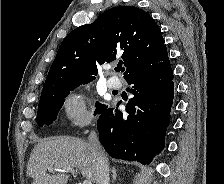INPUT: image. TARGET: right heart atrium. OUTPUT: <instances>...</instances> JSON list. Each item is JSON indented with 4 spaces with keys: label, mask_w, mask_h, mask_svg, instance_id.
I'll list each match as a JSON object with an SVG mask.
<instances>
[{
    "label": "right heart atrium",
    "mask_w": 224,
    "mask_h": 184,
    "mask_svg": "<svg viewBox=\"0 0 224 184\" xmlns=\"http://www.w3.org/2000/svg\"><path fill=\"white\" fill-rule=\"evenodd\" d=\"M65 114L73 123L84 126L93 120V115L87 106L85 98L80 94H73L65 101Z\"/></svg>",
    "instance_id": "d8ad5b80"
}]
</instances>
